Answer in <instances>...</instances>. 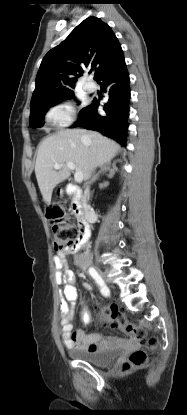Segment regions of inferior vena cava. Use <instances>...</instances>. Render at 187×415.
Instances as JSON below:
<instances>
[{
    "label": "inferior vena cava",
    "mask_w": 187,
    "mask_h": 415,
    "mask_svg": "<svg viewBox=\"0 0 187 415\" xmlns=\"http://www.w3.org/2000/svg\"><path fill=\"white\" fill-rule=\"evenodd\" d=\"M95 167L96 166L94 164L91 165L90 174L93 172V170H94Z\"/></svg>",
    "instance_id": "602c4592"
}]
</instances>
